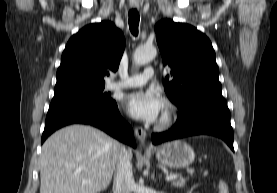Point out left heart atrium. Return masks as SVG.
<instances>
[{"label": "left heart atrium", "instance_id": "39dd6f15", "mask_svg": "<svg viewBox=\"0 0 277 193\" xmlns=\"http://www.w3.org/2000/svg\"><path fill=\"white\" fill-rule=\"evenodd\" d=\"M124 105L132 117L155 122L163 110L164 102L155 91L147 90L128 94L124 99Z\"/></svg>", "mask_w": 277, "mask_h": 193}]
</instances>
